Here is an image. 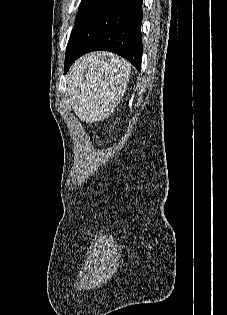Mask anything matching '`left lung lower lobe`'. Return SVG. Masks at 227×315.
Returning a JSON list of instances; mask_svg holds the SVG:
<instances>
[{
	"instance_id": "1",
	"label": "left lung lower lobe",
	"mask_w": 227,
	"mask_h": 315,
	"mask_svg": "<svg viewBox=\"0 0 227 315\" xmlns=\"http://www.w3.org/2000/svg\"><path fill=\"white\" fill-rule=\"evenodd\" d=\"M143 0H98L76 24L69 39L64 70L91 51H111L141 70Z\"/></svg>"
}]
</instances>
